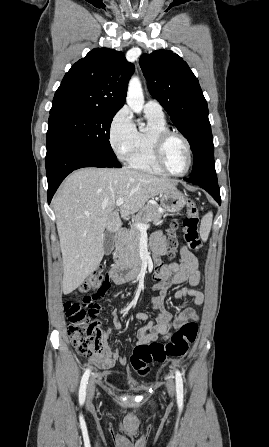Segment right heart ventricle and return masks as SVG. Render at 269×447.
<instances>
[{
    "label": "right heart ventricle",
    "instance_id": "e07e8e85",
    "mask_svg": "<svg viewBox=\"0 0 269 447\" xmlns=\"http://www.w3.org/2000/svg\"><path fill=\"white\" fill-rule=\"evenodd\" d=\"M148 121L146 128L136 130L132 149L127 157L130 167L156 174H165L155 160L153 150V137L155 133L169 130L165 118L145 113Z\"/></svg>",
    "mask_w": 269,
    "mask_h": 447
}]
</instances>
